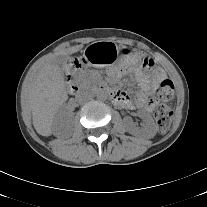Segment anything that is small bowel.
Segmentation results:
<instances>
[{
	"instance_id": "small-bowel-1",
	"label": "small bowel",
	"mask_w": 207,
	"mask_h": 207,
	"mask_svg": "<svg viewBox=\"0 0 207 207\" xmlns=\"http://www.w3.org/2000/svg\"><path fill=\"white\" fill-rule=\"evenodd\" d=\"M123 74L120 69H110L109 75L112 78H119ZM166 77L164 71L160 68L156 72H152V75H147L142 71L136 72V80L140 87L139 92L136 95L135 101L129 99V97L122 91H115L116 97L114 101L121 107L127 109H133L135 106L144 110H151L153 108L152 95L158 86V84Z\"/></svg>"
}]
</instances>
